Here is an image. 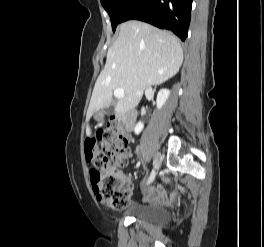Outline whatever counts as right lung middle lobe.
Returning a JSON list of instances; mask_svg holds the SVG:
<instances>
[{
    "instance_id": "dd1d6c3e",
    "label": "right lung middle lobe",
    "mask_w": 264,
    "mask_h": 247,
    "mask_svg": "<svg viewBox=\"0 0 264 247\" xmlns=\"http://www.w3.org/2000/svg\"><path fill=\"white\" fill-rule=\"evenodd\" d=\"M134 0H101V4L108 12L112 30L115 31L118 24L123 21V17Z\"/></svg>"
}]
</instances>
